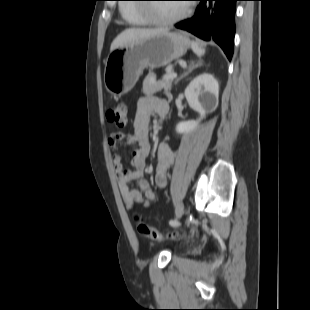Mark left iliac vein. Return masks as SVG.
<instances>
[{
	"instance_id": "4c4485c4",
	"label": "left iliac vein",
	"mask_w": 310,
	"mask_h": 310,
	"mask_svg": "<svg viewBox=\"0 0 310 310\" xmlns=\"http://www.w3.org/2000/svg\"><path fill=\"white\" fill-rule=\"evenodd\" d=\"M183 211H184V206H183L182 203H180V204L178 205L177 211H176V221H178V220L181 218V216H182V214H183Z\"/></svg>"
}]
</instances>
